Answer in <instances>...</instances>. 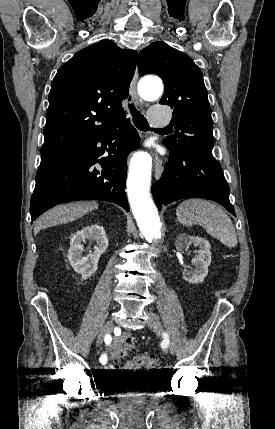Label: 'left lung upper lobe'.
Instances as JSON below:
<instances>
[{
    "label": "left lung upper lobe",
    "instance_id": "obj_1",
    "mask_svg": "<svg viewBox=\"0 0 275 429\" xmlns=\"http://www.w3.org/2000/svg\"><path fill=\"white\" fill-rule=\"evenodd\" d=\"M140 75L156 74L164 82L160 104L173 109L174 135L164 145L175 153L203 150L212 154V117L203 74L194 61L164 42H153L138 56Z\"/></svg>",
    "mask_w": 275,
    "mask_h": 429
}]
</instances>
